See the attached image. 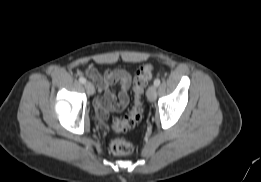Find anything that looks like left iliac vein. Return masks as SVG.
Instances as JSON below:
<instances>
[{"mask_svg":"<svg viewBox=\"0 0 261 182\" xmlns=\"http://www.w3.org/2000/svg\"><path fill=\"white\" fill-rule=\"evenodd\" d=\"M157 93H156V86L151 85L147 90V98L149 101H154L156 99Z\"/></svg>","mask_w":261,"mask_h":182,"instance_id":"1","label":"left iliac vein"}]
</instances>
